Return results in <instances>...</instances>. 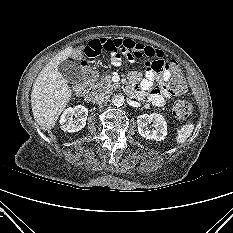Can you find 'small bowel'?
<instances>
[{"mask_svg": "<svg viewBox=\"0 0 233 233\" xmlns=\"http://www.w3.org/2000/svg\"><path fill=\"white\" fill-rule=\"evenodd\" d=\"M79 50L85 58H96L107 53L110 55L111 63L115 66H120L124 59L134 63L136 59L146 56L151 60L145 62L147 67L145 77L141 79L138 72H131L129 92L139 97L148 93L149 100L156 106H162L166 99L173 95L167 85L171 77L170 64L159 49L129 39L98 38L82 45Z\"/></svg>", "mask_w": 233, "mask_h": 233, "instance_id": "obj_1", "label": "small bowel"}]
</instances>
